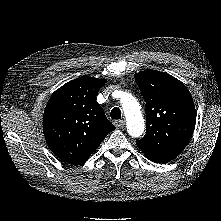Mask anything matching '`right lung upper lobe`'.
I'll use <instances>...</instances> for the list:
<instances>
[{"mask_svg":"<svg viewBox=\"0 0 221 221\" xmlns=\"http://www.w3.org/2000/svg\"><path fill=\"white\" fill-rule=\"evenodd\" d=\"M106 79L83 76L67 82L50 97L43 131L52 152L61 160L80 165L115 129L96 96Z\"/></svg>","mask_w":221,"mask_h":221,"instance_id":"right-lung-upper-lobe-1","label":"right lung upper lobe"}]
</instances>
